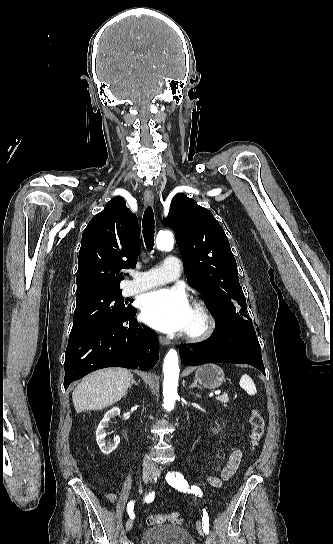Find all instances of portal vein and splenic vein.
<instances>
[{"mask_svg": "<svg viewBox=\"0 0 333 544\" xmlns=\"http://www.w3.org/2000/svg\"><path fill=\"white\" fill-rule=\"evenodd\" d=\"M220 393H221V391H219V390H218V391H215V395H218V394H220Z\"/></svg>", "mask_w": 333, "mask_h": 544, "instance_id": "1", "label": "portal vein and splenic vein"}]
</instances>
